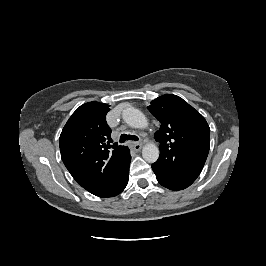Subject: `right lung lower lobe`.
<instances>
[{
	"mask_svg": "<svg viewBox=\"0 0 266 266\" xmlns=\"http://www.w3.org/2000/svg\"><path fill=\"white\" fill-rule=\"evenodd\" d=\"M130 165V163H129ZM129 165L127 166L124 175L121 177L120 181L118 182L116 188L111 192V194L108 197H113L121 193L124 188L126 187L128 183V177H129Z\"/></svg>",
	"mask_w": 266,
	"mask_h": 266,
	"instance_id": "98d812e1",
	"label": "right lung lower lobe"
}]
</instances>
